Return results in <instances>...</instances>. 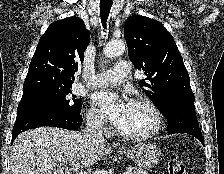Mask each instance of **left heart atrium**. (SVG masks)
<instances>
[{
    "mask_svg": "<svg viewBox=\"0 0 224 174\" xmlns=\"http://www.w3.org/2000/svg\"><path fill=\"white\" fill-rule=\"evenodd\" d=\"M104 116L116 127H120L129 111L131 102L127 98L109 91L97 92L93 96Z\"/></svg>",
    "mask_w": 224,
    "mask_h": 174,
    "instance_id": "left-heart-atrium-1",
    "label": "left heart atrium"
}]
</instances>
